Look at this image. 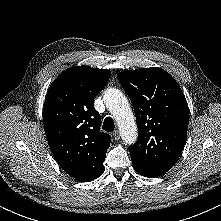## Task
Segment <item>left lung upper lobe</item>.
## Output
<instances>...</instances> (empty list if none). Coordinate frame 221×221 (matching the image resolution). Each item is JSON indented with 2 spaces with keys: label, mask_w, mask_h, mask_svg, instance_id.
<instances>
[{
  "label": "left lung upper lobe",
  "mask_w": 221,
  "mask_h": 221,
  "mask_svg": "<svg viewBox=\"0 0 221 221\" xmlns=\"http://www.w3.org/2000/svg\"><path fill=\"white\" fill-rule=\"evenodd\" d=\"M117 77L132 102L138 127L131 159L171 168L183 150L189 118L178 83L158 67L125 70Z\"/></svg>",
  "instance_id": "obj_1"
}]
</instances>
